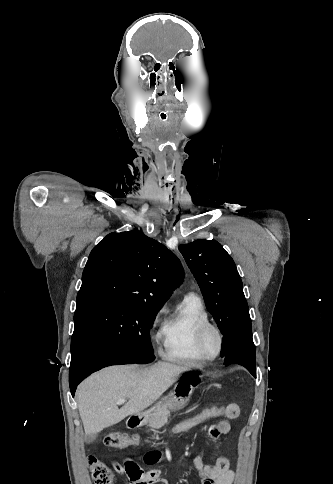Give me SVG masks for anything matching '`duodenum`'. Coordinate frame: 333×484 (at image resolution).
I'll list each match as a JSON object with an SVG mask.
<instances>
[{
	"label": "duodenum",
	"mask_w": 333,
	"mask_h": 484,
	"mask_svg": "<svg viewBox=\"0 0 333 484\" xmlns=\"http://www.w3.org/2000/svg\"><path fill=\"white\" fill-rule=\"evenodd\" d=\"M129 427L130 428H136L140 424V418L139 417H133L129 420Z\"/></svg>",
	"instance_id": "obj_1"
}]
</instances>
